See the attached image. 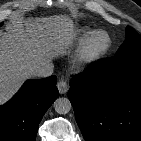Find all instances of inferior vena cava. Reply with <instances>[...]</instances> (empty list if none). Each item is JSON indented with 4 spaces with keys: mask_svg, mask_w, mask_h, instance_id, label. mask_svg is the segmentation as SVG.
I'll list each match as a JSON object with an SVG mask.
<instances>
[{
    "mask_svg": "<svg viewBox=\"0 0 141 141\" xmlns=\"http://www.w3.org/2000/svg\"><path fill=\"white\" fill-rule=\"evenodd\" d=\"M33 74L35 76H38V77H41V78L51 76L53 74V65H52V63L43 62V63L39 64L38 66H36L34 68Z\"/></svg>",
    "mask_w": 141,
    "mask_h": 141,
    "instance_id": "1",
    "label": "inferior vena cava"
}]
</instances>
